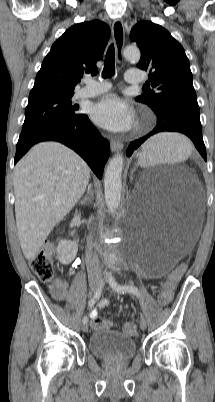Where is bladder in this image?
Listing matches in <instances>:
<instances>
[{"mask_svg":"<svg viewBox=\"0 0 215 402\" xmlns=\"http://www.w3.org/2000/svg\"><path fill=\"white\" fill-rule=\"evenodd\" d=\"M92 355L108 361H125L136 353V342L126 334L110 329H99L88 340Z\"/></svg>","mask_w":215,"mask_h":402,"instance_id":"bladder-1","label":"bladder"}]
</instances>
